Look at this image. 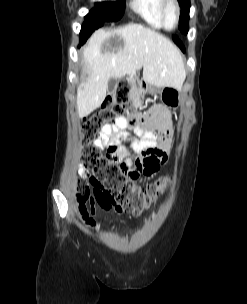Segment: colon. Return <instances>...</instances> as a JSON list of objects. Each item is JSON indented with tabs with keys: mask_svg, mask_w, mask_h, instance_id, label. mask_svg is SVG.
Instances as JSON below:
<instances>
[{
	"mask_svg": "<svg viewBox=\"0 0 247 304\" xmlns=\"http://www.w3.org/2000/svg\"><path fill=\"white\" fill-rule=\"evenodd\" d=\"M128 95L129 86L124 82L119 83L115 92L106 98L101 108L84 121L82 129L83 159L95 175L97 188L91 189L83 177L77 180V199L83 218L89 216L88 203L94 204L102 195L118 203L123 209L139 214L156 202L169 187L171 181L169 176L159 178L146 188L135 186L133 180L124 174L119 165H112V162L104 161L105 154L96 144L104 126L113 123L127 111ZM146 162L150 167L157 165L156 159H146Z\"/></svg>",
	"mask_w": 247,
	"mask_h": 304,
	"instance_id": "5ec220e1",
	"label": "colon"
}]
</instances>
